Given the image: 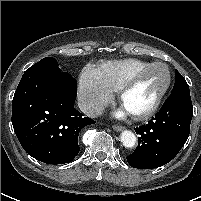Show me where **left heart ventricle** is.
<instances>
[{
	"label": "left heart ventricle",
	"mask_w": 201,
	"mask_h": 201,
	"mask_svg": "<svg viewBox=\"0 0 201 201\" xmlns=\"http://www.w3.org/2000/svg\"><path fill=\"white\" fill-rule=\"evenodd\" d=\"M167 81L164 67L152 68L125 95L122 106L130 114L138 113L148 108L163 89Z\"/></svg>",
	"instance_id": "obj_1"
}]
</instances>
